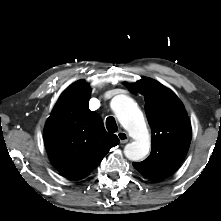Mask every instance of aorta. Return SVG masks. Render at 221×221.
Returning <instances> with one entry per match:
<instances>
[{
  "label": "aorta",
  "mask_w": 221,
  "mask_h": 221,
  "mask_svg": "<svg viewBox=\"0 0 221 221\" xmlns=\"http://www.w3.org/2000/svg\"><path fill=\"white\" fill-rule=\"evenodd\" d=\"M111 105L120 124L134 139L125 146V156L132 161L143 159L149 153L150 139L142 111L125 95L116 96Z\"/></svg>",
  "instance_id": "762f6f07"
}]
</instances>
